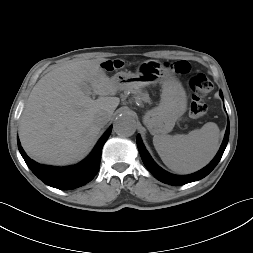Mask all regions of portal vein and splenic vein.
I'll use <instances>...</instances> for the list:
<instances>
[{
    "instance_id": "18ae733b",
    "label": "portal vein and splenic vein",
    "mask_w": 253,
    "mask_h": 253,
    "mask_svg": "<svg viewBox=\"0 0 253 253\" xmlns=\"http://www.w3.org/2000/svg\"><path fill=\"white\" fill-rule=\"evenodd\" d=\"M84 91H85V93L88 94V95L91 94V89H90V87L87 86V85L84 86Z\"/></svg>"
}]
</instances>
